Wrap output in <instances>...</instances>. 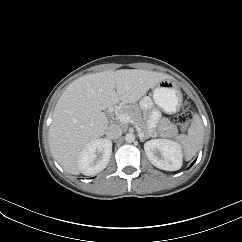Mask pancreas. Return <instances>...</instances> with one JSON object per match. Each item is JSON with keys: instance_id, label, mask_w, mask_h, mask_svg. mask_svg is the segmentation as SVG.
Listing matches in <instances>:
<instances>
[{"instance_id": "pancreas-1", "label": "pancreas", "mask_w": 242, "mask_h": 242, "mask_svg": "<svg viewBox=\"0 0 242 242\" xmlns=\"http://www.w3.org/2000/svg\"><path fill=\"white\" fill-rule=\"evenodd\" d=\"M127 114L131 116L133 124L135 127L140 130L148 138L153 136L147 129V124L143 121L140 115V110L135 105H124L119 110L116 111V114ZM159 131L162 135H173L177 133L175 126L171 125L169 121L163 120L159 126Z\"/></svg>"}]
</instances>
